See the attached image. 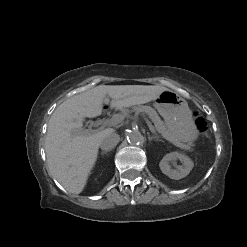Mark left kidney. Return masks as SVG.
I'll return each mask as SVG.
<instances>
[{
  "label": "left kidney",
  "mask_w": 247,
  "mask_h": 247,
  "mask_svg": "<svg viewBox=\"0 0 247 247\" xmlns=\"http://www.w3.org/2000/svg\"><path fill=\"white\" fill-rule=\"evenodd\" d=\"M176 160H180L182 165L178 166L176 169H172L170 162L175 163ZM193 166L194 163L188 156L178 152L166 154L159 163L162 173L175 180L186 177L192 170Z\"/></svg>",
  "instance_id": "obj_1"
}]
</instances>
